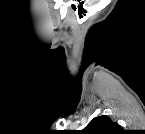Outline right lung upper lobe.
<instances>
[{"label": "right lung upper lobe", "mask_w": 145, "mask_h": 134, "mask_svg": "<svg viewBox=\"0 0 145 134\" xmlns=\"http://www.w3.org/2000/svg\"><path fill=\"white\" fill-rule=\"evenodd\" d=\"M121 130V126L112 121L110 117L102 115L95 117L80 132L81 134H117Z\"/></svg>", "instance_id": "cb5924a9"}]
</instances>
